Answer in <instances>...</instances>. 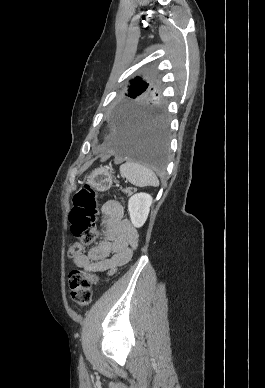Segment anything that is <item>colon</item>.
<instances>
[{"label":"colon","instance_id":"obj_1","mask_svg":"<svg viewBox=\"0 0 265 388\" xmlns=\"http://www.w3.org/2000/svg\"><path fill=\"white\" fill-rule=\"evenodd\" d=\"M98 214V194L86 185L74 197V207L70 212V230L80 242L70 245L68 255L76 258L84 254L85 247L93 244L98 237L96 220ZM99 281L93 273L73 270L69 273V287L72 300L79 306H88L92 299V287Z\"/></svg>","mask_w":265,"mask_h":388}]
</instances>
